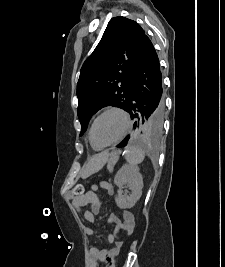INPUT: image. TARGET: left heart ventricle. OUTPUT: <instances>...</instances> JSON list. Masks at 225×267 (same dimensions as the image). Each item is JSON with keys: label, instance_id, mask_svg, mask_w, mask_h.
Masks as SVG:
<instances>
[{"label": "left heart ventricle", "instance_id": "obj_1", "mask_svg": "<svg viewBox=\"0 0 225 267\" xmlns=\"http://www.w3.org/2000/svg\"><path fill=\"white\" fill-rule=\"evenodd\" d=\"M124 128L122 116L110 112L100 117L93 129V141L97 145L109 143L120 136Z\"/></svg>", "mask_w": 225, "mask_h": 267}]
</instances>
